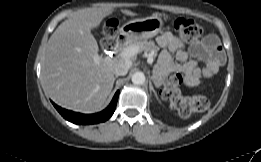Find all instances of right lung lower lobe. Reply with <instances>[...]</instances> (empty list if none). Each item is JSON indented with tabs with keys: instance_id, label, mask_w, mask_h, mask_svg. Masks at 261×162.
<instances>
[{
	"instance_id": "obj_1",
	"label": "right lung lower lobe",
	"mask_w": 261,
	"mask_h": 162,
	"mask_svg": "<svg viewBox=\"0 0 261 162\" xmlns=\"http://www.w3.org/2000/svg\"><path fill=\"white\" fill-rule=\"evenodd\" d=\"M118 96H119V91L116 92L111 103L105 110H103L99 113H95V114L76 113V112L61 108L53 102H52V104L66 120H68L74 124L89 125V124H96V123H100V122H104V121L108 120L115 111Z\"/></svg>"
}]
</instances>
